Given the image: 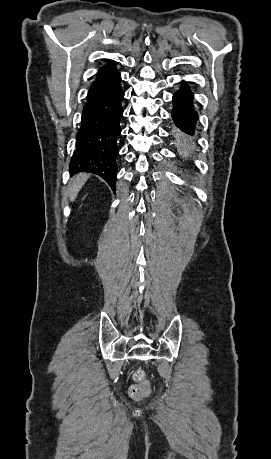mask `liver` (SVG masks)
I'll use <instances>...</instances> for the list:
<instances>
[{"label": "liver", "instance_id": "1", "mask_svg": "<svg viewBox=\"0 0 271 459\" xmlns=\"http://www.w3.org/2000/svg\"><path fill=\"white\" fill-rule=\"evenodd\" d=\"M88 178H89L88 174H78L75 180H73V184L69 188V198L71 202H74L75 198H77V194H79L82 186H84Z\"/></svg>", "mask_w": 271, "mask_h": 459}]
</instances>
